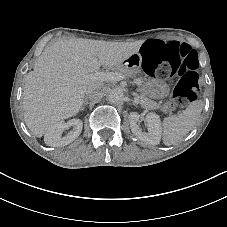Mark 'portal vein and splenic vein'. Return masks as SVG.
I'll return each mask as SVG.
<instances>
[{
	"label": "portal vein and splenic vein",
	"instance_id": "portal-vein-and-splenic-vein-1",
	"mask_svg": "<svg viewBox=\"0 0 227 227\" xmlns=\"http://www.w3.org/2000/svg\"><path fill=\"white\" fill-rule=\"evenodd\" d=\"M94 78L103 80V81H120L125 79V75L119 72H96L94 73ZM136 105L140 104L138 98L134 99Z\"/></svg>",
	"mask_w": 227,
	"mask_h": 227
}]
</instances>
